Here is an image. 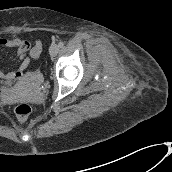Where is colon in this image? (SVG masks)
<instances>
[{"label":"colon","mask_w":172,"mask_h":172,"mask_svg":"<svg viewBox=\"0 0 172 172\" xmlns=\"http://www.w3.org/2000/svg\"><path fill=\"white\" fill-rule=\"evenodd\" d=\"M14 112L19 120L24 121L32 113V107L29 104L20 103L15 107Z\"/></svg>","instance_id":"obj_1"}]
</instances>
